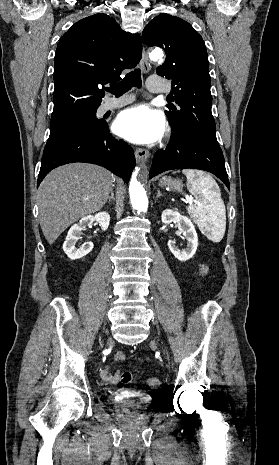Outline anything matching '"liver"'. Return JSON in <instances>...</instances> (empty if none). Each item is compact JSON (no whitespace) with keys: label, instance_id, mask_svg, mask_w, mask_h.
<instances>
[{"label":"liver","instance_id":"obj_1","mask_svg":"<svg viewBox=\"0 0 279 465\" xmlns=\"http://www.w3.org/2000/svg\"><path fill=\"white\" fill-rule=\"evenodd\" d=\"M112 182V173L93 164L70 163L52 170L40 184L37 197L47 242L53 244L79 218L101 210Z\"/></svg>","mask_w":279,"mask_h":465}]
</instances>
